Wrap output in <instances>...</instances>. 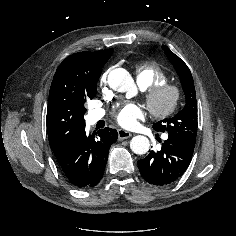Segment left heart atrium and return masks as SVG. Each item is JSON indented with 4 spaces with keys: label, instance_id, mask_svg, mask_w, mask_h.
<instances>
[{
    "label": "left heart atrium",
    "instance_id": "39dd6f15",
    "mask_svg": "<svg viewBox=\"0 0 236 236\" xmlns=\"http://www.w3.org/2000/svg\"><path fill=\"white\" fill-rule=\"evenodd\" d=\"M114 117L120 126L134 128L137 126L138 120L144 118V111L136 104L127 103L115 111Z\"/></svg>",
    "mask_w": 236,
    "mask_h": 236
}]
</instances>
